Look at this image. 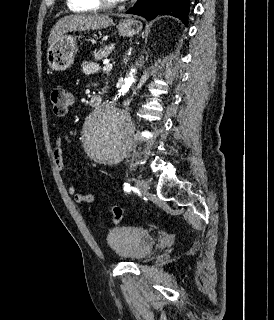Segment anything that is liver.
<instances>
[{
	"instance_id": "liver-1",
	"label": "liver",
	"mask_w": 274,
	"mask_h": 320,
	"mask_svg": "<svg viewBox=\"0 0 274 320\" xmlns=\"http://www.w3.org/2000/svg\"><path fill=\"white\" fill-rule=\"evenodd\" d=\"M113 20L104 14H72L56 22L48 38V44H56L60 36L67 32H84V30H103L112 26Z\"/></svg>"
}]
</instances>
